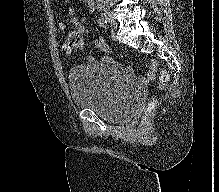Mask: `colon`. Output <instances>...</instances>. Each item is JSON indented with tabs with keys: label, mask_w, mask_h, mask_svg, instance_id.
Masks as SVG:
<instances>
[{
	"label": "colon",
	"mask_w": 219,
	"mask_h": 192,
	"mask_svg": "<svg viewBox=\"0 0 219 192\" xmlns=\"http://www.w3.org/2000/svg\"><path fill=\"white\" fill-rule=\"evenodd\" d=\"M74 44H75L74 41H68V49L70 50V52L74 50H79L74 47ZM168 80H169V74L167 71L163 70L160 73V85L164 87L167 84ZM155 109H156V101L155 100L149 101L146 106L144 115L142 117V121L143 122L148 121L153 116Z\"/></svg>",
	"instance_id": "colon-1"
}]
</instances>
